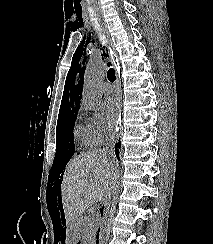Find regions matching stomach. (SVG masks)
<instances>
[{
    "mask_svg": "<svg viewBox=\"0 0 213 244\" xmlns=\"http://www.w3.org/2000/svg\"><path fill=\"white\" fill-rule=\"evenodd\" d=\"M80 221H69L66 223L67 238L63 239V244H76V239H81V229H79Z\"/></svg>",
    "mask_w": 213,
    "mask_h": 244,
    "instance_id": "obj_1",
    "label": "stomach"
}]
</instances>
